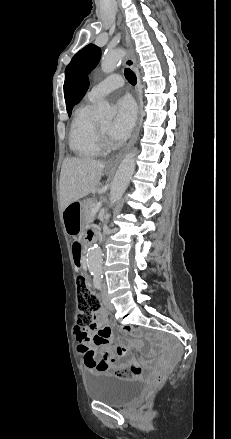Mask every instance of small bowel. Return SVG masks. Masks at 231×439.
Here are the masks:
<instances>
[{"instance_id":"obj_1","label":"small bowel","mask_w":231,"mask_h":439,"mask_svg":"<svg viewBox=\"0 0 231 439\" xmlns=\"http://www.w3.org/2000/svg\"><path fill=\"white\" fill-rule=\"evenodd\" d=\"M70 207L71 205L68 206L67 209ZM78 248L79 247H77V249ZM75 335L77 340H79L78 352L84 358L85 365L87 366V358H91L95 364L102 365L103 363L105 365L93 370H107L111 367L139 366L130 355V348L128 346L119 345L115 350L111 348L113 334L110 326L106 322V313L103 309H99L96 312L94 321L90 327H77L75 329Z\"/></svg>"}]
</instances>
